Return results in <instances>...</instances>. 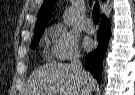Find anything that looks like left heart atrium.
<instances>
[{"mask_svg": "<svg viewBox=\"0 0 135 95\" xmlns=\"http://www.w3.org/2000/svg\"><path fill=\"white\" fill-rule=\"evenodd\" d=\"M84 47L87 50H92L94 48V42L91 39H85V41H84Z\"/></svg>", "mask_w": 135, "mask_h": 95, "instance_id": "39dd6f15", "label": "left heart atrium"}]
</instances>
